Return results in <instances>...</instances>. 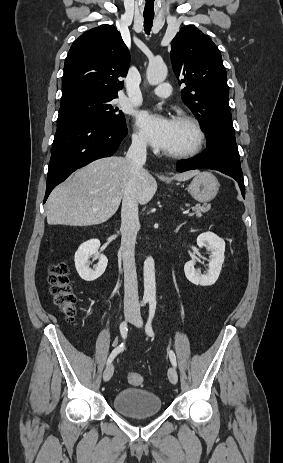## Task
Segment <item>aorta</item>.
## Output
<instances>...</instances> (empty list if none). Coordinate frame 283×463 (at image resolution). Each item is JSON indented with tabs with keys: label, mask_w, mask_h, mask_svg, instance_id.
<instances>
[{
	"label": "aorta",
	"mask_w": 283,
	"mask_h": 463,
	"mask_svg": "<svg viewBox=\"0 0 283 463\" xmlns=\"http://www.w3.org/2000/svg\"><path fill=\"white\" fill-rule=\"evenodd\" d=\"M167 67L163 62H150L147 68L146 76L150 85H157L163 82L167 76ZM144 276V300L155 299L156 282H155V262L149 256L146 258L143 267Z\"/></svg>",
	"instance_id": "aorta-1"
}]
</instances>
